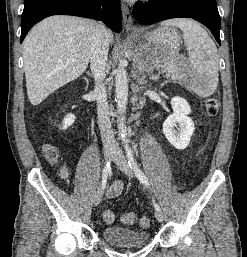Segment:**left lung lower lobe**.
<instances>
[{
  "instance_id": "0a47b994",
  "label": "left lung lower lobe",
  "mask_w": 247,
  "mask_h": 257,
  "mask_svg": "<svg viewBox=\"0 0 247 257\" xmlns=\"http://www.w3.org/2000/svg\"><path fill=\"white\" fill-rule=\"evenodd\" d=\"M132 13L137 22L144 25L172 18H193L208 27L221 45L216 0H150L148 3L135 4Z\"/></svg>"
}]
</instances>
